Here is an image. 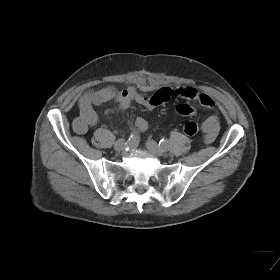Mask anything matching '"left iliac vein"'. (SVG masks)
Returning <instances> with one entry per match:
<instances>
[{"label":"left iliac vein","instance_id":"1","mask_svg":"<svg viewBox=\"0 0 280 280\" xmlns=\"http://www.w3.org/2000/svg\"><path fill=\"white\" fill-rule=\"evenodd\" d=\"M146 145L148 150L156 156H162L165 153V150L160 147L154 140H148Z\"/></svg>","mask_w":280,"mask_h":280}]
</instances>
